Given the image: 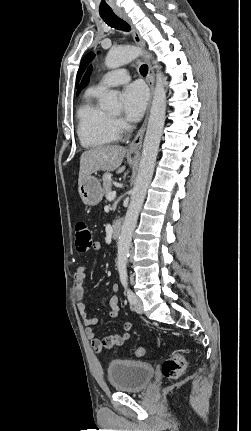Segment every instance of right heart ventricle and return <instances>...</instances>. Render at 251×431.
Returning <instances> with one entry per match:
<instances>
[{
	"label": "right heart ventricle",
	"instance_id": "e07e8e85",
	"mask_svg": "<svg viewBox=\"0 0 251 431\" xmlns=\"http://www.w3.org/2000/svg\"><path fill=\"white\" fill-rule=\"evenodd\" d=\"M100 93L96 87L89 88L77 110V134L85 147L105 146L119 138L112 116L96 103Z\"/></svg>",
	"mask_w": 251,
	"mask_h": 431
}]
</instances>
